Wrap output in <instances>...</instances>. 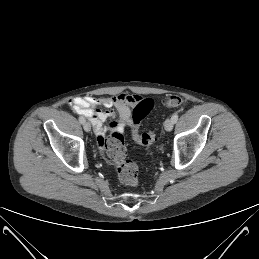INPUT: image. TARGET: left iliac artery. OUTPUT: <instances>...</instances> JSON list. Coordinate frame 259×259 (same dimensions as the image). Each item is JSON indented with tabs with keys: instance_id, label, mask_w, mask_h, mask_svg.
<instances>
[{
	"instance_id": "1",
	"label": "left iliac artery",
	"mask_w": 259,
	"mask_h": 259,
	"mask_svg": "<svg viewBox=\"0 0 259 259\" xmlns=\"http://www.w3.org/2000/svg\"><path fill=\"white\" fill-rule=\"evenodd\" d=\"M171 119H172V121H173L174 123H176L177 120H178V114H177V113H174V114L172 115Z\"/></svg>"
}]
</instances>
